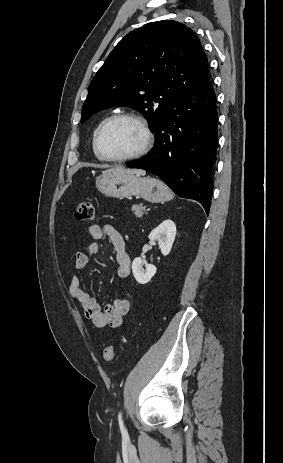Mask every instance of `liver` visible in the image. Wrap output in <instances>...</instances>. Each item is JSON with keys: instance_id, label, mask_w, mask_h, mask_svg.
<instances>
[{"instance_id": "6515ba94", "label": "liver", "mask_w": 283, "mask_h": 463, "mask_svg": "<svg viewBox=\"0 0 283 463\" xmlns=\"http://www.w3.org/2000/svg\"><path fill=\"white\" fill-rule=\"evenodd\" d=\"M105 172H118V173H129V174H136L139 176H144L146 172L140 169H125L124 167H116L112 169H108Z\"/></svg>"}]
</instances>
